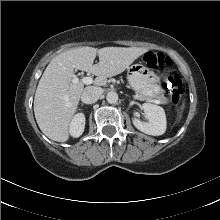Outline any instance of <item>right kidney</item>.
Here are the masks:
<instances>
[{"label": "right kidney", "instance_id": "ca27d5eb", "mask_svg": "<svg viewBox=\"0 0 220 220\" xmlns=\"http://www.w3.org/2000/svg\"><path fill=\"white\" fill-rule=\"evenodd\" d=\"M85 128V116L83 113H78L74 116L70 123V134L77 138L82 135Z\"/></svg>", "mask_w": 220, "mask_h": 220}]
</instances>
